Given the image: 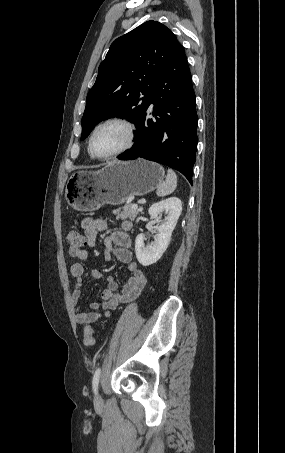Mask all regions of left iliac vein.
Segmentation results:
<instances>
[{
  "label": "left iliac vein",
  "mask_w": 285,
  "mask_h": 453,
  "mask_svg": "<svg viewBox=\"0 0 285 453\" xmlns=\"http://www.w3.org/2000/svg\"><path fill=\"white\" fill-rule=\"evenodd\" d=\"M95 403L96 404H101L102 403V398H101V396L98 393L95 396Z\"/></svg>",
  "instance_id": "4c4485c4"
}]
</instances>
